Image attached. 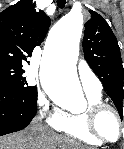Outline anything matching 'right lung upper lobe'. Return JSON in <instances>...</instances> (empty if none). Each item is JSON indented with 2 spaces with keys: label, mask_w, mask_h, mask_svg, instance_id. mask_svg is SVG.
<instances>
[{
  "label": "right lung upper lobe",
  "mask_w": 124,
  "mask_h": 149,
  "mask_svg": "<svg viewBox=\"0 0 124 149\" xmlns=\"http://www.w3.org/2000/svg\"><path fill=\"white\" fill-rule=\"evenodd\" d=\"M34 7L32 0H20L0 13V66L23 70L22 61L42 43L51 20Z\"/></svg>",
  "instance_id": "right-lung-upper-lobe-1"
}]
</instances>
